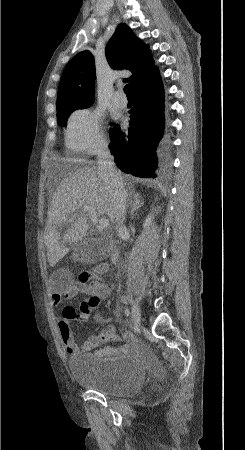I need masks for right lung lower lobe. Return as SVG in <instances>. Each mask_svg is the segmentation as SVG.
<instances>
[{
  "label": "right lung lower lobe",
  "mask_w": 245,
  "mask_h": 450,
  "mask_svg": "<svg viewBox=\"0 0 245 450\" xmlns=\"http://www.w3.org/2000/svg\"><path fill=\"white\" fill-rule=\"evenodd\" d=\"M130 130L112 131L110 149L119 169L145 178H156L170 167V144L164 132V89L157 67L131 89Z\"/></svg>",
  "instance_id": "obj_1"
}]
</instances>
